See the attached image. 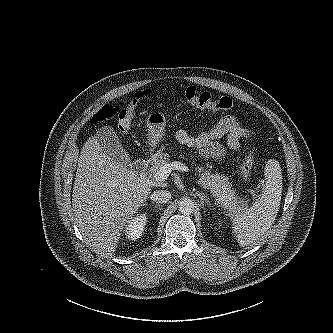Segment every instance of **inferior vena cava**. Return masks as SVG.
Returning <instances> with one entry per match:
<instances>
[{"label":"inferior vena cava","mask_w":333,"mask_h":333,"mask_svg":"<svg viewBox=\"0 0 333 333\" xmlns=\"http://www.w3.org/2000/svg\"><path fill=\"white\" fill-rule=\"evenodd\" d=\"M150 198L158 203H167L171 198V193L166 190H156L151 194Z\"/></svg>","instance_id":"inferior-vena-cava-1"}]
</instances>
